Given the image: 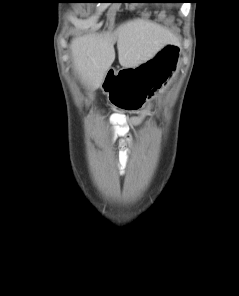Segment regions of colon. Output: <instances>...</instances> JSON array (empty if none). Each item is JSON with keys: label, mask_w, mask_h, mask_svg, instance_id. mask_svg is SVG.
<instances>
[{"label": "colon", "mask_w": 239, "mask_h": 296, "mask_svg": "<svg viewBox=\"0 0 239 296\" xmlns=\"http://www.w3.org/2000/svg\"><path fill=\"white\" fill-rule=\"evenodd\" d=\"M117 74H119V72H117ZM117 79V75L115 76V78L113 80Z\"/></svg>", "instance_id": "1"}]
</instances>
